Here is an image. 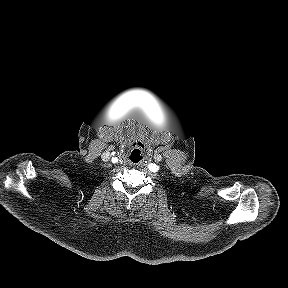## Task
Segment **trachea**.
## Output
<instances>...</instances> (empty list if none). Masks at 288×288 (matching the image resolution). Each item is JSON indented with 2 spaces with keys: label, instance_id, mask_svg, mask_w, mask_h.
Masks as SVG:
<instances>
[{
  "label": "trachea",
  "instance_id": "obj_1",
  "mask_svg": "<svg viewBox=\"0 0 288 288\" xmlns=\"http://www.w3.org/2000/svg\"><path fill=\"white\" fill-rule=\"evenodd\" d=\"M128 158H129V161L133 164L140 163L144 158L143 147L136 146L133 149H131V151L129 152Z\"/></svg>",
  "mask_w": 288,
  "mask_h": 288
}]
</instances>
